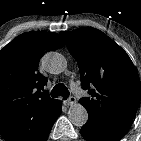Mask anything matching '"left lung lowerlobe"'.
<instances>
[{"label": "left lung lower lobe", "mask_w": 141, "mask_h": 141, "mask_svg": "<svg viewBox=\"0 0 141 141\" xmlns=\"http://www.w3.org/2000/svg\"><path fill=\"white\" fill-rule=\"evenodd\" d=\"M131 123L89 114L81 134L87 141H118L127 133Z\"/></svg>", "instance_id": "left-lung-lower-lobe-1"}]
</instances>
